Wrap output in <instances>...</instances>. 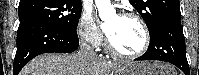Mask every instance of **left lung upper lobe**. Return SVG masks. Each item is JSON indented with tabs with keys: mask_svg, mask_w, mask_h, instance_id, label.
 Returning a JSON list of instances; mask_svg holds the SVG:
<instances>
[{
	"mask_svg": "<svg viewBox=\"0 0 199 75\" xmlns=\"http://www.w3.org/2000/svg\"><path fill=\"white\" fill-rule=\"evenodd\" d=\"M144 19L150 35L171 15H181L179 0H129Z\"/></svg>",
	"mask_w": 199,
	"mask_h": 75,
	"instance_id": "obj_1",
	"label": "left lung upper lobe"
}]
</instances>
